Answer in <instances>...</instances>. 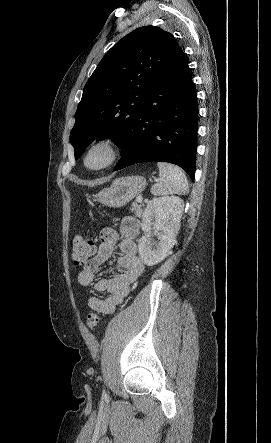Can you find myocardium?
<instances>
[{"label":"myocardium","instance_id":"myocardium-1","mask_svg":"<svg viewBox=\"0 0 271 443\" xmlns=\"http://www.w3.org/2000/svg\"><path fill=\"white\" fill-rule=\"evenodd\" d=\"M98 145H102L108 148L109 157L107 161L97 168H88L85 165V157L88 151ZM122 155V145L117 136L113 134H106L92 139L84 148L81 154V165L82 167L89 172H100L106 170L116 164Z\"/></svg>","mask_w":271,"mask_h":443}]
</instances>
